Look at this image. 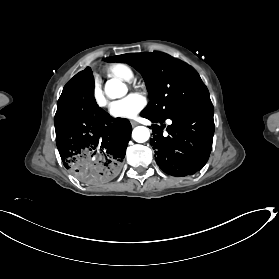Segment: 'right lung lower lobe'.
<instances>
[{
	"mask_svg": "<svg viewBox=\"0 0 279 279\" xmlns=\"http://www.w3.org/2000/svg\"><path fill=\"white\" fill-rule=\"evenodd\" d=\"M54 123L61 160L72 175L88 185L117 178L132 129L128 120L98 107L90 67L64 86Z\"/></svg>",
	"mask_w": 279,
	"mask_h": 279,
	"instance_id": "98d812e1",
	"label": "right lung lower lobe"
}]
</instances>
